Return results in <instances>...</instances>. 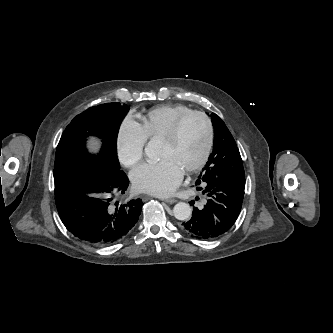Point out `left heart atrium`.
Returning a JSON list of instances; mask_svg holds the SVG:
<instances>
[{
    "instance_id": "39dd6f15",
    "label": "left heart atrium",
    "mask_w": 333,
    "mask_h": 333,
    "mask_svg": "<svg viewBox=\"0 0 333 333\" xmlns=\"http://www.w3.org/2000/svg\"><path fill=\"white\" fill-rule=\"evenodd\" d=\"M184 170L171 158L145 162L131 172L134 187L157 196L171 194L181 183Z\"/></svg>"
}]
</instances>
